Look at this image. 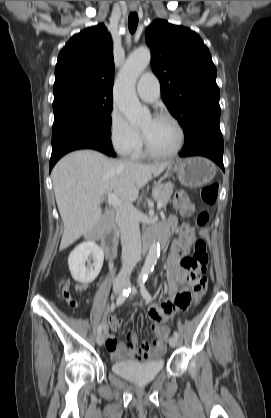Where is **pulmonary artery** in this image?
Here are the masks:
<instances>
[{
    "label": "pulmonary artery",
    "mask_w": 271,
    "mask_h": 418,
    "mask_svg": "<svg viewBox=\"0 0 271 418\" xmlns=\"http://www.w3.org/2000/svg\"><path fill=\"white\" fill-rule=\"evenodd\" d=\"M139 97L147 102L156 101L160 96V84L157 77L151 73H144L137 82Z\"/></svg>",
    "instance_id": "e3ab8cb5"
}]
</instances>
